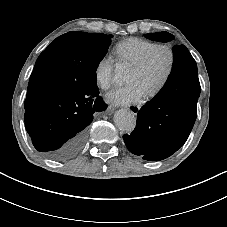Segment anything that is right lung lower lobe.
<instances>
[{
	"mask_svg": "<svg viewBox=\"0 0 227 227\" xmlns=\"http://www.w3.org/2000/svg\"><path fill=\"white\" fill-rule=\"evenodd\" d=\"M106 108L98 87L81 93L51 90L26 109L25 127L39 152L68 160L83 147L93 114Z\"/></svg>",
	"mask_w": 227,
	"mask_h": 227,
	"instance_id": "1",
	"label": "right lung lower lobe"
}]
</instances>
